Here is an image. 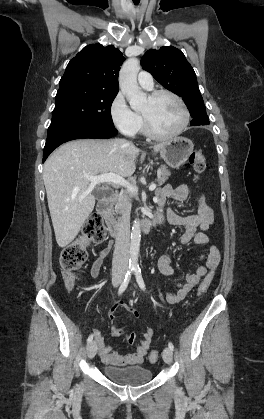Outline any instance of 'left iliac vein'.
I'll return each mask as SVG.
<instances>
[{
  "mask_svg": "<svg viewBox=\"0 0 264 419\" xmlns=\"http://www.w3.org/2000/svg\"><path fill=\"white\" fill-rule=\"evenodd\" d=\"M162 356H163V360H164L167 364L172 363V360H173V353H172V350H171L169 347H168V348H165V349L163 350Z\"/></svg>",
  "mask_w": 264,
  "mask_h": 419,
  "instance_id": "1",
  "label": "left iliac vein"
}]
</instances>
